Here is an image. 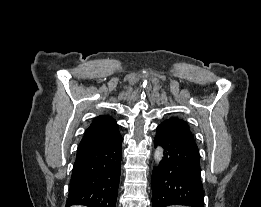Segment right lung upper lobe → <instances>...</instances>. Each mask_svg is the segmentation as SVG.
<instances>
[{"instance_id":"right-lung-upper-lobe-1","label":"right lung upper lobe","mask_w":261,"mask_h":207,"mask_svg":"<svg viewBox=\"0 0 261 207\" xmlns=\"http://www.w3.org/2000/svg\"><path fill=\"white\" fill-rule=\"evenodd\" d=\"M121 137L115 119L107 115L96 117L85 131L77 152L108 144Z\"/></svg>"}]
</instances>
